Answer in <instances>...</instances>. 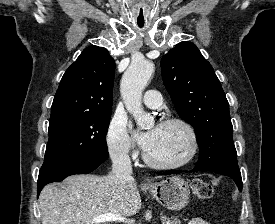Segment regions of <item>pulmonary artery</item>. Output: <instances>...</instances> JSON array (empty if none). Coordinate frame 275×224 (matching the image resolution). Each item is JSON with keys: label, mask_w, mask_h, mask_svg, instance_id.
Returning a JSON list of instances; mask_svg holds the SVG:
<instances>
[{"label": "pulmonary artery", "mask_w": 275, "mask_h": 224, "mask_svg": "<svg viewBox=\"0 0 275 224\" xmlns=\"http://www.w3.org/2000/svg\"><path fill=\"white\" fill-rule=\"evenodd\" d=\"M143 102L149 108H157L161 104V95L157 90H147Z\"/></svg>", "instance_id": "obj_1"}]
</instances>
